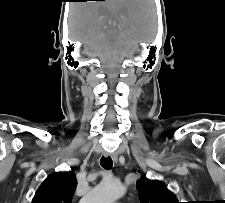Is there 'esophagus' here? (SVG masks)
Masks as SVG:
<instances>
[{
	"mask_svg": "<svg viewBox=\"0 0 225 203\" xmlns=\"http://www.w3.org/2000/svg\"><path fill=\"white\" fill-rule=\"evenodd\" d=\"M103 155L105 157L110 156L114 161H117V159H118V155L116 153L104 152Z\"/></svg>",
	"mask_w": 225,
	"mask_h": 203,
	"instance_id": "obj_1",
	"label": "esophagus"
}]
</instances>
